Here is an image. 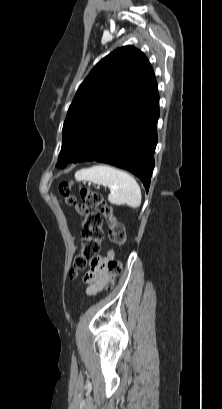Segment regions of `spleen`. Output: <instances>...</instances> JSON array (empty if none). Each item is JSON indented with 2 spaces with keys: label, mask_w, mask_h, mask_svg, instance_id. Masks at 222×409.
<instances>
[{
  "label": "spleen",
  "mask_w": 222,
  "mask_h": 409,
  "mask_svg": "<svg viewBox=\"0 0 222 409\" xmlns=\"http://www.w3.org/2000/svg\"><path fill=\"white\" fill-rule=\"evenodd\" d=\"M77 181H91L110 188L108 200L111 204H126L138 208L141 204V189L136 180L128 173L108 165H96L75 173Z\"/></svg>",
  "instance_id": "1"
}]
</instances>
